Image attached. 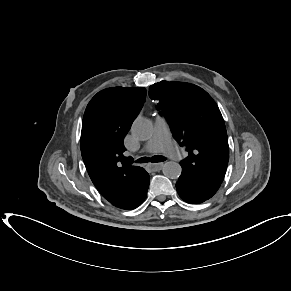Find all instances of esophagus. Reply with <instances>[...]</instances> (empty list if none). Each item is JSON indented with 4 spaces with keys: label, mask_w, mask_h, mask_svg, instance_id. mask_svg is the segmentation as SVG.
<instances>
[{
    "label": "esophagus",
    "mask_w": 291,
    "mask_h": 291,
    "mask_svg": "<svg viewBox=\"0 0 291 291\" xmlns=\"http://www.w3.org/2000/svg\"><path fill=\"white\" fill-rule=\"evenodd\" d=\"M149 166L152 169V171L156 172V171L161 170L162 167L164 166V164L163 163H156V164H150Z\"/></svg>",
    "instance_id": "1"
}]
</instances>
